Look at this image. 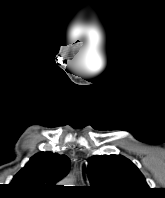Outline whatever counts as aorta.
<instances>
[{
    "label": "aorta",
    "mask_w": 165,
    "mask_h": 198,
    "mask_svg": "<svg viewBox=\"0 0 165 198\" xmlns=\"http://www.w3.org/2000/svg\"><path fill=\"white\" fill-rule=\"evenodd\" d=\"M63 183L65 184V186H72V183H73V179L68 177L66 178Z\"/></svg>",
    "instance_id": "1"
}]
</instances>
